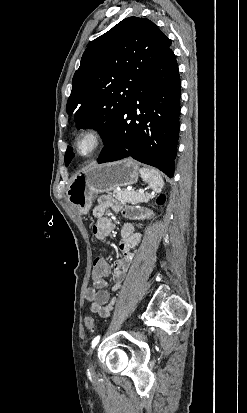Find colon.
<instances>
[{
  "label": "colon",
  "mask_w": 247,
  "mask_h": 413,
  "mask_svg": "<svg viewBox=\"0 0 247 413\" xmlns=\"http://www.w3.org/2000/svg\"><path fill=\"white\" fill-rule=\"evenodd\" d=\"M159 204L164 205L166 203L165 197H160ZM92 275L107 277L109 275V263L104 259L92 260ZM84 326L87 330L93 331L95 329V319L92 316H85Z\"/></svg>",
  "instance_id": "1"
}]
</instances>
